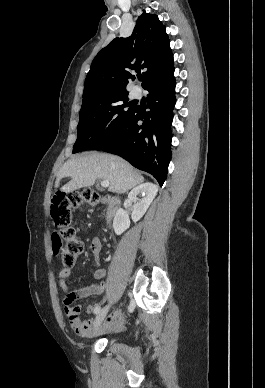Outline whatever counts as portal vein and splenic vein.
<instances>
[{"label": "portal vein and splenic vein", "instance_id": "portal-vein-and-splenic-vein-1", "mask_svg": "<svg viewBox=\"0 0 265 388\" xmlns=\"http://www.w3.org/2000/svg\"><path fill=\"white\" fill-rule=\"evenodd\" d=\"M101 186H103V188H108L109 186L108 180H103V182H101Z\"/></svg>", "mask_w": 265, "mask_h": 388}]
</instances>
